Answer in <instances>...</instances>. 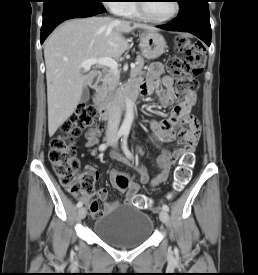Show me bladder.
Listing matches in <instances>:
<instances>
[{
    "instance_id": "31cf9c89",
    "label": "bladder",
    "mask_w": 258,
    "mask_h": 275,
    "mask_svg": "<svg viewBox=\"0 0 258 275\" xmlns=\"http://www.w3.org/2000/svg\"><path fill=\"white\" fill-rule=\"evenodd\" d=\"M154 229L151 216L132 205H124L100 216L93 224L94 234L122 249L144 244Z\"/></svg>"
}]
</instances>
